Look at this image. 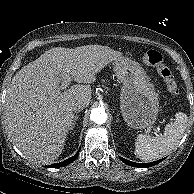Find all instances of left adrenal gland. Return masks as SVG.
Listing matches in <instances>:
<instances>
[{
  "label": "left adrenal gland",
  "instance_id": "a2214340",
  "mask_svg": "<svg viewBox=\"0 0 194 194\" xmlns=\"http://www.w3.org/2000/svg\"><path fill=\"white\" fill-rule=\"evenodd\" d=\"M117 116L119 117V115L117 114ZM117 122H119V118H117V120H116Z\"/></svg>",
  "mask_w": 194,
  "mask_h": 194
}]
</instances>
